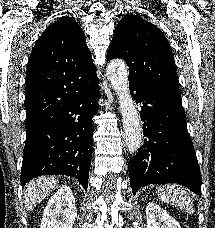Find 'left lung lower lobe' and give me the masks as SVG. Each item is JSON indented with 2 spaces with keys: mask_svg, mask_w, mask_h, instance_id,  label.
<instances>
[{
  "mask_svg": "<svg viewBox=\"0 0 215 228\" xmlns=\"http://www.w3.org/2000/svg\"><path fill=\"white\" fill-rule=\"evenodd\" d=\"M142 104L144 144L130 160L133 194L148 184L178 183L201 196V173L182 106L181 90L129 83Z\"/></svg>",
  "mask_w": 215,
  "mask_h": 228,
  "instance_id": "obj_1",
  "label": "left lung lower lobe"
}]
</instances>
